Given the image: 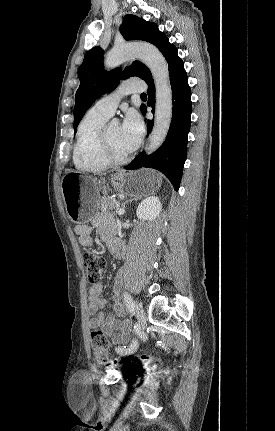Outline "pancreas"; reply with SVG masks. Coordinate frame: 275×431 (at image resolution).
Returning <instances> with one entry per match:
<instances>
[{"mask_svg": "<svg viewBox=\"0 0 275 431\" xmlns=\"http://www.w3.org/2000/svg\"><path fill=\"white\" fill-rule=\"evenodd\" d=\"M98 205H99L101 214L111 215L108 211L113 209H118L119 202L114 198H109L104 196L99 200Z\"/></svg>", "mask_w": 275, "mask_h": 431, "instance_id": "cf45deb5", "label": "pancreas"}]
</instances>
